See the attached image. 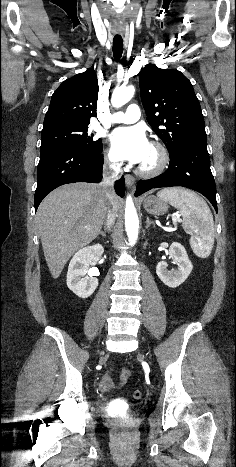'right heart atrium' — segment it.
Wrapping results in <instances>:
<instances>
[{
	"mask_svg": "<svg viewBox=\"0 0 236 467\" xmlns=\"http://www.w3.org/2000/svg\"><path fill=\"white\" fill-rule=\"evenodd\" d=\"M106 160L112 168L117 169L120 167V163L118 159L116 158L112 149L107 150Z\"/></svg>",
	"mask_w": 236,
	"mask_h": 467,
	"instance_id": "d8ad5b80",
	"label": "right heart atrium"
}]
</instances>
